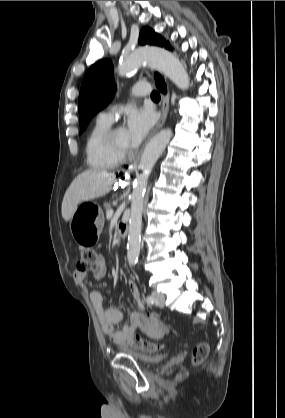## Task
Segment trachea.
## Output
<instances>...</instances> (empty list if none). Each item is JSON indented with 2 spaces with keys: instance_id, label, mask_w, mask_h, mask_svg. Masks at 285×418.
<instances>
[{
  "instance_id": "trachea-1",
  "label": "trachea",
  "mask_w": 285,
  "mask_h": 418,
  "mask_svg": "<svg viewBox=\"0 0 285 418\" xmlns=\"http://www.w3.org/2000/svg\"><path fill=\"white\" fill-rule=\"evenodd\" d=\"M151 97H152V98H160V95H159V93H157L156 91H153V92L151 93Z\"/></svg>"
}]
</instances>
